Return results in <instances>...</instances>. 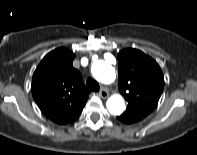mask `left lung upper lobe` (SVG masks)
Here are the masks:
<instances>
[{
	"label": "left lung upper lobe",
	"instance_id": "1",
	"mask_svg": "<svg viewBox=\"0 0 197 155\" xmlns=\"http://www.w3.org/2000/svg\"><path fill=\"white\" fill-rule=\"evenodd\" d=\"M118 60V88L128 101L120 117L138 122L156 107L164 87L163 73L155 60L137 49L120 51Z\"/></svg>",
	"mask_w": 197,
	"mask_h": 155
}]
</instances>
